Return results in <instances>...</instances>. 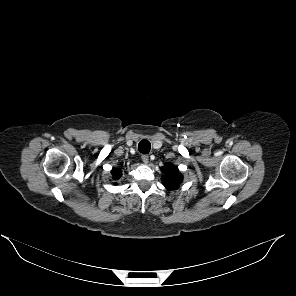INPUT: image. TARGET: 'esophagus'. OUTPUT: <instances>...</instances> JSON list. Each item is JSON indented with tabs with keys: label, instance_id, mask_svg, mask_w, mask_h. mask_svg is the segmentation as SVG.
<instances>
[{
	"label": "esophagus",
	"instance_id": "obj_1",
	"mask_svg": "<svg viewBox=\"0 0 296 296\" xmlns=\"http://www.w3.org/2000/svg\"><path fill=\"white\" fill-rule=\"evenodd\" d=\"M142 161H143L145 164H147V163L149 162V157H148V155H146V154L142 155Z\"/></svg>",
	"mask_w": 296,
	"mask_h": 296
}]
</instances>
